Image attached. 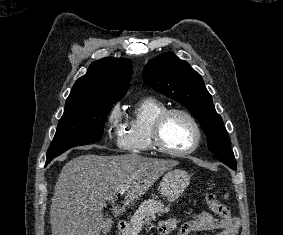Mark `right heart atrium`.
<instances>
[{
    "instance_id": "d8ad5b80",
    "label": "right heart atrium",
    "mask_w": 283,
    "mask_h": 235,
    "mask_svg": "<svg viewBox=\"0 0 283 235\" xmlns=\"http://www.w3.org/2000/svg\"><path fill=\"white\" fill-rule=\"evenodd\" d=\"M124 127L123 119H122V113L119 108V106H115L112 111L109 114L108 117V137L110 139H118L120 133Z\"/></svg>"
}]
</instances>
